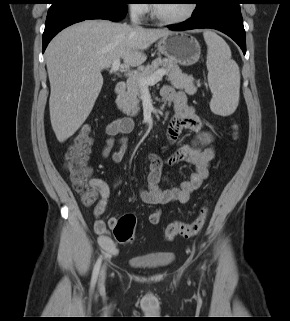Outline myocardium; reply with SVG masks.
<instances>
[{
	"mask_svg": "<svg viewBox=\"0 0 290 321\" xmlns=\"http://www.w3.org/2000/svg\"><path fill=\"white\" fill-rule=\"evenodd\" d=\"M196 3L194 0H190L188 1V9L187 11L179 16V17H175V18H165V17H162L160 16L157 11H156V7L154 4H152L150 6V11H151V16L152 18L160 23V24H163V25H177V24H181L187 20H189L195 13L196 11Z\"/></svg>",
	"mask_w": 290,
	"mask_h": 321,
	"instance_id": "obj_1",
	"label": "myocardium"
}]
</instances>
